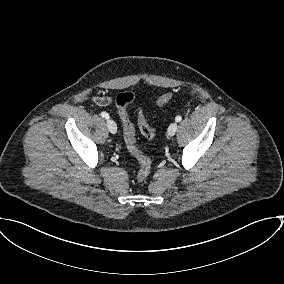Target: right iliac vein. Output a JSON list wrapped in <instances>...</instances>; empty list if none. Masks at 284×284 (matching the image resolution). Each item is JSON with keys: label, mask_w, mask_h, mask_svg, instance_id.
I'll return each instance as SVG.
<instances>
[{"label": "right iliac vein", "mask_w": 284, "mask_h": 284, "mask_svg": "<svg viewBox=\"0 0 284 284\" xmlns=\"http://www.w3.org/2000/svg\"><path fill=\"white\" fill-rule=\"evenodd\" d=\"M108 130L112 133L115 134L117 132V125L112 119H108L106 122Z\"/></svg>", "instance_id": "1"}]
</instances>
